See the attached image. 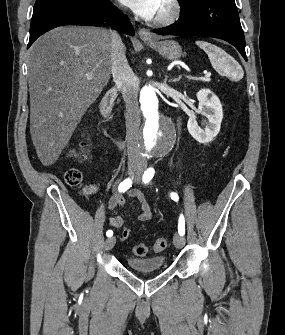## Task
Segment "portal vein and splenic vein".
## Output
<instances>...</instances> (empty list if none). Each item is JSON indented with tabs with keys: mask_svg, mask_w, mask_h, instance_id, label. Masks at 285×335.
I'll return each mask as SVG.
<instances>
[{
	"mask_svg": "<svg viewBox=\"0 0 285 335\" xmlns=\"http://www.w3.org/2000/svg\"><path fill=\"white\" fill-rule=\"evenodd\" d=\"M87 80H92V74H85ZM188 80H201V82H206V80H209L210 74H205L204 78H192V76H186Z\"/></svg>",
	"mask_w": 285,
	"mask_h": 335,
	"instance_id": "obj_1",
	"label": "portal vein and splenic vein"
}]
</instances>
